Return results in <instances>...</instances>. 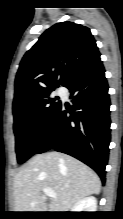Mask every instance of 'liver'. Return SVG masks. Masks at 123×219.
Masks as SVG:
<instances>
[{"label": "liver", "mask_w": 123, "mask_h": 219, "mask_svg": "<svg viewBox=\"0 0 123 219\" xmlns=\"http://www.w3.org/2000/svg\"><path fill=\"white\" fill-rule=\"evenodd\" d=\"M57 195L47 207L43 190ZM99 176L79 160L59 152L34 156L14 178L15 212H68L79 200L99 194Z\"/></svg>", "instance_id": "6515ba94"}]
</instances>
